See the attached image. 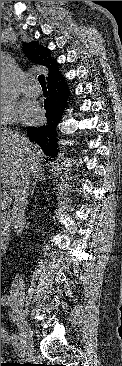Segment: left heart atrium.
I'll return each instance as SVG.
<instances>
[{
	"instance_id": "39dd6f15",
	"label": "left heart atrium",
	"mask_w": 122,
	"mask_h": 366,
	"mask_svg": "<svg viewBox=\"0 0 122 366\" xmlns=\"http://www.w3.org/2000/svg\"><path fill=\"white\" fill-rule=\"evenodd\" d=\"M17 117L25 123L35 122L39 117V110L30 101L23 100L18 105Z\"/></svg>"
}]
</instances>
